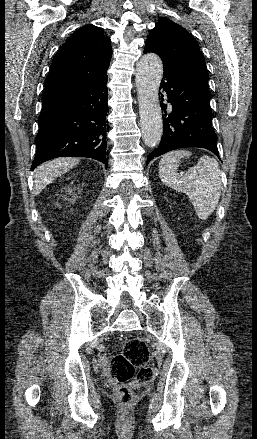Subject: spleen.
<instances>
[{"mask_svg":"<svg viewBox=\"0 0 257 439\" xmlns=\"http://www.w3.org/2000/svg\"><path fill=\"white\" fill-rule=\"evenodd\" d=\"M190 156L191 152L188 150L166 153L159 162V176L166 186L187 194L197 216L201 220H207L220 199L221 170L214 158L203 155L188 173H178L180 159Z\"/></svg>","mask_w":257,"mask_h":439,"instance_id":"obj_1","label":"spleen"}]
</instances>
